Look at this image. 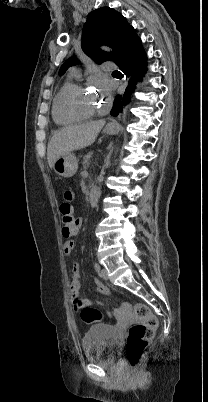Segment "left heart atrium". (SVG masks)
Wrapping results in <instances>:
<instances>
[{
  "instance_id": "left-heart-atrium-1",
  "label": "left heart atrium",
  "mask_w": 208,
  "mask_h": 402,
  "mask_svg": "<svg viewBox=\"0 0 208 402\" xmlns=\"http://www.w3.org/2000/svg\"><path fill=\"white\" fill-rule=\"evenodd\" d=\"M101 89H102V91H103L105 94H109L110 91H111L110 86H109L108 84H106V83H103V84L101 85Z\"/></svg>"
}]
</instances>
